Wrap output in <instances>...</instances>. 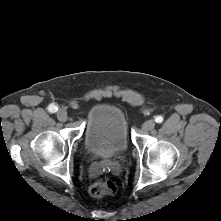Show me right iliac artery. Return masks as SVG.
<instances>
[{"label": "right iliac artery", "mask_w": 221, "mask_h": 221, "mask_svg": "<svg viewBox=\"0 0 221 221\" xmlns=\"http://www.w3.org/2000/svg\"><path fill=\"white\" fill-rule=\"evenodd\" d=\"M48 110H49V112H51V113H55V112L58 110V108H57L56 105L50 104L49 107H48Z\"/></svg>", "instance_id": "82829eb1"}]
</instances>
